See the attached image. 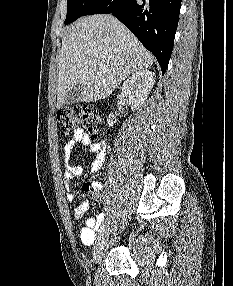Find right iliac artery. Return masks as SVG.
<instances>
[{"label": "right iliac artery", "instance_id": "obj_1", "mask_svg": "<svg viewBox=\"0 0 233 286\" xmlns=\"http://www.w3.org/2000/svg\"><path fill=\"white\" fill-rule=\"evenodd\" d=\"M109 222L105 221L99 229V234H101L105 228L108 226Z\"/></svg>", "mask_w": 233, "mask_h": 286}]
</instances>
